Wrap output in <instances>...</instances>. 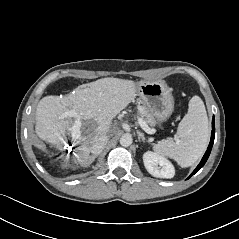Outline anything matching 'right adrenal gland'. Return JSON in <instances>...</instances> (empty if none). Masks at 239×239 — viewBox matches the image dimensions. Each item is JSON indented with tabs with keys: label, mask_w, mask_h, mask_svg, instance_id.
I'll return each instance as SVG.
<instances>
[{
	"label": "right adrenal gland",
	"mask_w": 239,
	"mask_h": 239,
	"mask_svg": "<svg viewBox=\"0 0 239 239\" xmlns=\"http://www.w3.org/2000/svg\"><path fill=\"white\" fill-rule=\"evenodd\" d=\"M96 158V156H92V159H95Z\"/></svg>",
	"instance_id": "right-adrenal-gland-1"
}]
</instances>
